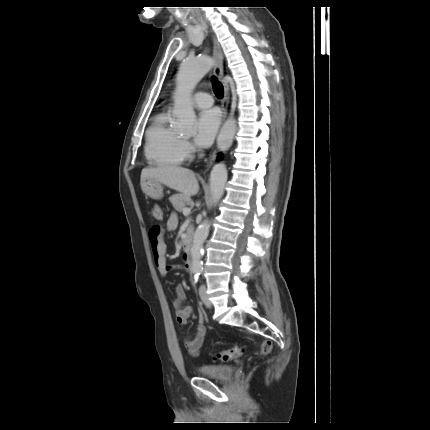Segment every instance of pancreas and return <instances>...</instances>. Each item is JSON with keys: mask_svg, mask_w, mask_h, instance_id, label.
<instances>
[{"mask_svg": "<svg viewBox=\"0 0 430 430\" xmlns=\"http://www.w3.org/2000/svg\"><path fill=\"white\" fill-rule=\"evenodd\" d=\"M170 202L172 203L173 207L178 211L181 212L185 208L187 204L190 203V196L184 195V194H174L170 197Z\"/></svg>", "mask_w": 430, "mask_h": 430, "instance_id": "obj_1", "label": "pancreas"}]
</instances>
